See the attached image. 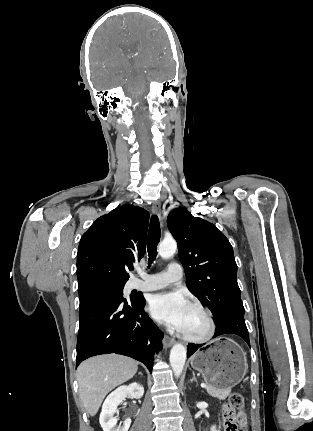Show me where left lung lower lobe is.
<instances>
[{
	"mask_svg": "<svg viewBox=\"0 0 313 431\" xmlns=\"http://www.w3.org/2000/svg\"><path fill=\"white\" fill-rule=\"evenodd\" d=\"M223 334H236L242 337L250 346L249 334L245 324L244 315L228 316L218 323H216V330L213 336L217 337ZM203 344H190L187 346V357H190L197 349L202 347Z\"/></svg>",
	"mask_w": 313,
	"mask_h": 431,
	"instance_id": "1",
	"label": "left lung lower lobe"
}]
</instances>
